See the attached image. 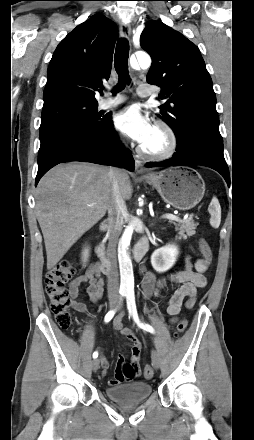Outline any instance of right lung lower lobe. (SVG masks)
Returning a JSON list of instances; mask_svg holds the SVG:
<instances>
[{
  "mask_svg": "<svg viewBox=\"0 0 254 440\" xmlns=\"http://www.w3.org/2000/svg\"><path fill=\"white\" fill-rule=\"evenodd\" d=\"M70 161L91 162L134 170L132 154L119 142L109 118L103 121L98 131L62 139L38 155L35 185L49 169L59 163Z\"/></svg>",
  "mask_w": 254,
  "mask_h": 440,
  "instance_id": "98d812e1",
  "label": "right lung lower lobe"
}]
</instances>
